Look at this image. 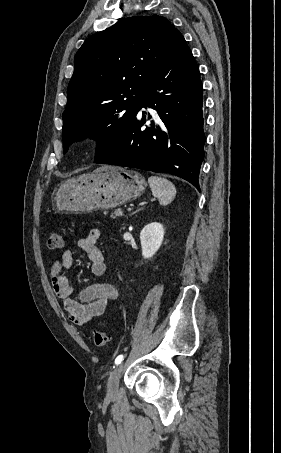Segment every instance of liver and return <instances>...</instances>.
I'll return each mask as SVG.
<instances>
[{
  "label": "liver",
  "instance_id": "obj_1",
  "mask_svg": "<svg viewBox=\"0 0 281 453\" xmlns=\"http://www.w3.org/2000/svg\"><path fill=\"white\" fill-rule=\"evenodd\" d=\"M107 164H104V166H99V168H96V170H105Z\"/></svg>",
  "mask_w": 281,
  "mask_h": 453
}]
</instances>
